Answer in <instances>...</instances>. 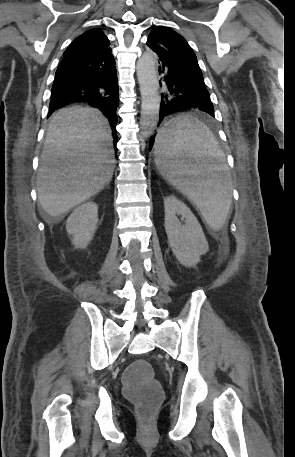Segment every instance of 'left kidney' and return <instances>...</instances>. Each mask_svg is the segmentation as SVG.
Returning <instances> with one entry per match:
<instances>
[{
    "label": "left kidney",
    "mask_w": 295,
    "mask_h": 457,
    "mask_svg": "<svg viewBox=\"0 0 295 457\" xmlns=\"http://www.w3.org/2000/svg\"><path fill=\"white\" fill-rule=\"evenodd\" d=\"M165 230L168 243L177 260L186 267L200 262L208 251V242L197 218L180 200L171 196L164 200ZM181 215V221L178 219Z\"/></svg>",
    "instance_id": "left-kidney-1"
}]
</instances>
